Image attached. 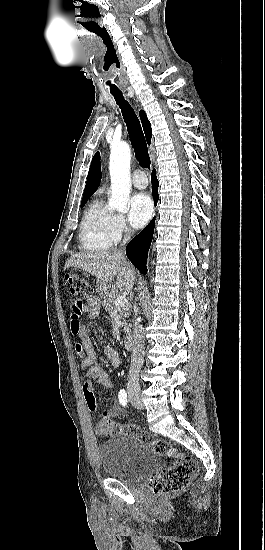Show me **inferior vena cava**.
I'll list each match as a JSON object with an SVG mask.
<instances>
[{
	"label": "inferior vena cava",
	"mask_w": 265,
	"mask_h": 550,
	"mask_svg": "<svg viewBox=\"0 0 265 550\" xmlns=\"http://www.w3.org/2000/svg\"><path fill=\"white\" fill-rule=\"evenodd\" d=\"M127 236L123 240V245L129 241ZM122 254V250L118 251ZM145 333L142 325L136 320L134 322L133 346L131 355V364L129 369V382L138 384L139 373L144 362Z\"/></svg>",
	"instance_id": "inferior-vena-cava-1"
}]
</instances>
